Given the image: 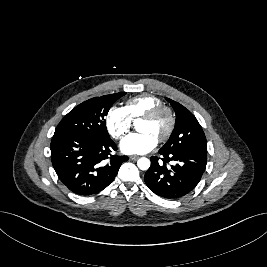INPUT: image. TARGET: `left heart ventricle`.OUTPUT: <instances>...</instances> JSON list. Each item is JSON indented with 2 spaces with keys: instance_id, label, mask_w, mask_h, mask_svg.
<instances>
[{
  "instance_id": "left-heart-ventricle-1",
  "label": "left heart ventricle",
  "mask_w": 267,
  "mask_h": 267,
  "mask_svg": "<svg viewBox=\"0 0 267 267\" xmlns=\"http://www.w3.org/2000/svg\"><path fill=\"white\" fill-rule=\"evenodd\" d=\"M167 117L161 115L159 118L153 121L141 120L137 125V130L142 133H148L159 139L167 127Z\"/></svg>"
}]
</instances>
